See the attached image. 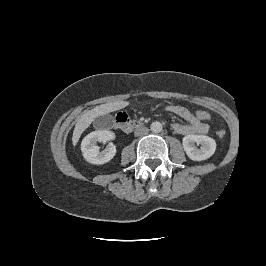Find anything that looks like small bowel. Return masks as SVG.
I'll return each mask as SVG.
<instances>
[{
    "mask_svg": "<svg viewBox=\"0 0 266 266\" xmlns=\"http://www.w3.org/2000/svg\"><path fill=\"white\" fill-rule=\"evenodd\" d=\"M170 113H173L187 123H174L172 128L174 132L180 135L189 134H206L209 130V126L202 121L198 120L196 116L186 107L179 105H171L166 108Z\"/></svg>",
    "mask_w": 266,
    "mask_h": 266,
    "instance_id": "small-bowel-1",
    "label": "small bowel"
}]
</instances>
